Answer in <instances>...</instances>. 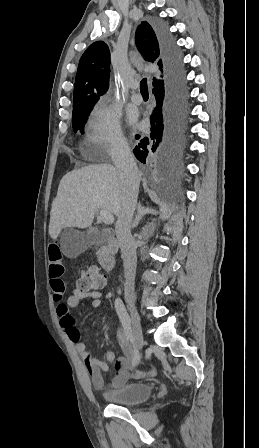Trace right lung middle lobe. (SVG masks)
Segmentation results:
<instances>
[{
    "instance_id": "1",
    "label": "right lung middle lobe",
    "mask_w": 259,
    "mask_h": 448,
    "mask_svg": "<svg viewBox=\"0 0 259 448\" xmlns=\"http://www.w3.org/2000/svg\"><path fill=\"white\" fill-rule=\"evenodd\" d=\"M92 109L93 107H89L73 111L72 127L74 132L80 131L82 134L84 133V124L86 123Z\"/></svg>"
}]
</instances>
